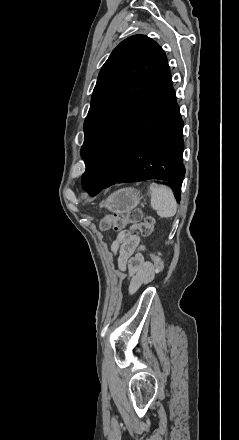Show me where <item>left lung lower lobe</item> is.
<instances>
[{"instance_id": "obj_1", "label": "left lung lower lobe", "mask_w": 239, "mask_h": 440, "mask_svg": "<svg viewBox=\"0 0 239 440\" xmlns=\"http://www.w3.org/2000/svg\"><path fill=\"white\" fill-rule=\"evenodd\" d=\"M183 121L168 64L134 106L108 131L82 175L92 196L115 183L169 181L180 200L185 174Z\"/></svg>"}]
</instances>
